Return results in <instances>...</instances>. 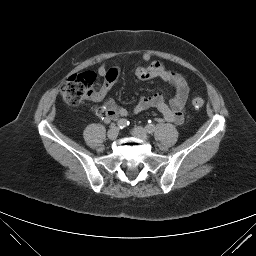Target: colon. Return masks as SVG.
Wrapping results in <instances>:
<instances>
[{"instance_id":"5ec220e1","label":"colon","mask_w":256,"mask_h":256,"mask_svg":"<svg viewBox=\"0 0 256 256\" xmlns=\"http://www.w3.org/2000/svg\"><path fill=\"white\" fill-rule=\"evenodd\" d=\"M95 82L96 74L91 71L71 75L64 81L60 88L64 102L74 106L90 97L93 94ZM204 103V99L200 96H195L192 100V105L195 109H201ZM94 112L97 115H104L103 108H95Z\"/></svg>"}]
</instances>
